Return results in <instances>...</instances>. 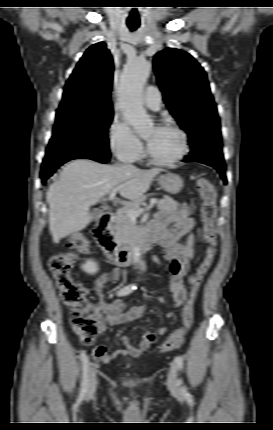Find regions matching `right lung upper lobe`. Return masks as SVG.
Returning <instances> with one entry per match:
<instances>
[{"label":"right lung upper lobe","instance_id":"right-lung-upper-lobe-1","mask_svg":"<svg viewBox=\"0 0 273 430\" xmlns=\"http://www.w3.org/2000/svg\"><path fill=\"white\" fill-rule=\"evenodd\" d=\"M113 60L104 42L89 47L65 84L61 108L113 110Z\"/></svg>","mask_w":273,"mask_h":430}]
</instances>
